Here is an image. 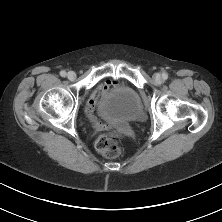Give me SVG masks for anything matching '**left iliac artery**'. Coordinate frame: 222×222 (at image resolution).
<instances>
[{
  "label": "left iliac artery",
  "instance_id": "left-iliac-artery-1",
  "mask_svg": "<svg viewBox=\"0 0 222 222\" xmlns=\"http://www.w3.org/2000/svg\"><path fill=\"white\" fill-rule=\"evenodd\" d=\"M162 78H163L164 80H166V79L168 78V74H167V73H163V74H162Z\"/></svg>",
  "mask_w": 222,
  "mask_h": 222
}]
</instances>
